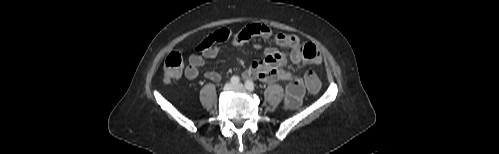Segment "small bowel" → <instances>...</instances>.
Instances as JSON below:
<instances>
[{
  "mask_svg": "<svg viewBox=\"0 0 499 154\" xmlns=\"http://www.w3.org/2000/svg\"><path fill=\"white\" fill-rule=\"evenodd\" d=\"M228 40H231L234 46L252 43L255 47L261 48L264 41H273L276 45L287 48L289 51L284 53L275 47H267L264 51V58L254 61L242 73V76L244 78L259 79L266 83L285 81L287 82L285 105L290 109H296L301 105L305 85L301 78L285 70L283 66L287 61L294 64L318 65L322 60L321 54L314 44L303 43L293 34L273 35L271 30L262 24H250L237 32L220 29L206 37L197 46V53L190 56L189 65L185 69V76L191 80L196 79L200 75V68L204 66L205 61L215 58L221 51L222 43ZM204 76L213 82L221 80V74L213 70L206 71Z\"/></svg>",
  "mask_w": 499,
  "mask_h": 154,
  "instance_id": "1",
  "label": "small bowel"
}]
</instances>
